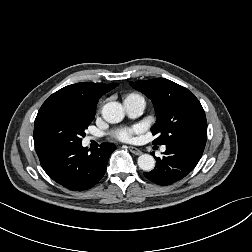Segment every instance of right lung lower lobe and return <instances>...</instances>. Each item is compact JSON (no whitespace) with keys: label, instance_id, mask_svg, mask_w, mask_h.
Masks as SVG:
<instances>
[{"label":"right lung lower lobe","instance_id":"1","mask_svg":"<svg viewBox=\"0 0 252 252\" xmlns=\"http://www.w3.org/2000/svg\"><path fill=\"white\" fill-rule=\"evenodd\" d=\"M116 149L112 143H102L88 153L82 143L44 144L35 146L47 175L58 184L74 190L90 189L104 176L108 159Z\"/></svg>","mask_w":252,"mask_h":252}]
</instances>
